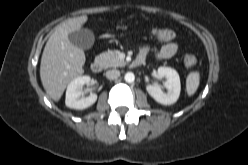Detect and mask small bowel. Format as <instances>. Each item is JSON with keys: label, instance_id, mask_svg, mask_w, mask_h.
I'll use <instances>...</instances> for the list:
<instances>
[{"label": "small bowel", "instance_id": "1", "mask_svg": "<svg viewBox=\"0 0 248 165\" xmlns=\"http://www.w3.org/2000/svg\"><path fill=\"white\" fill-rule=\"evenodd\" d=\"M178 51V43L174 40L167 41L158 51L156 58L158 60L170 59L176 55ZM149 49L144 46L139 51V56L145 59L148 55Z\"/></svg>", "mask_w": 248, "mask_h": 165}]
</instances>
